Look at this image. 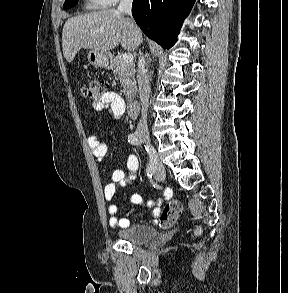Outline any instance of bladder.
Returning <instances> with one entry per match:
<instances>
[{"label": "bladder", "instance_id": "1", "mask_svg": "<svg viewBox=\"0 0 288 293\" xmlns=\"http://www.w3.org/2000/svg\"><path fill=\"white\" fill-rule=\"evenodd\" d=\"M117 236L132 244H142L152 240L156 236V230L149 225H133L119 230Z\"/></svg>", "mask_w": 288, "mask_h": 293}]
</instances>
